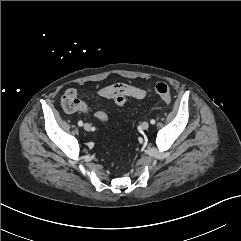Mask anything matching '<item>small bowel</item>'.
Listing matches in <instances>:
<instances>
[{
  "instance_id": "c3829d8e",
  "label": "small bowel",
  "mask_w": 241,
  "mask_h": 241,
  "mask_svg": "<svg viewBox=\"0 0 241 241\" xmlns=\"http://www.w3.org/2000/svg\"><path fill=\"white\" fill-rule=\"evenodd\" d=\"M126 88L125 95L129 98L141 100L146 97L149 90L144 89L135 85L127 83H116L108 86H104L97 91V94L105 99H113V95L109 94V91L114 87ZM61 105L66 113H74L76 111H81L84 113H91L89 106L79 98L78 92L75 88H68L65 90L61 97ZM103 111H95L94 116L98 119L99 115Z\"/></svg>"
}]
</instances>
